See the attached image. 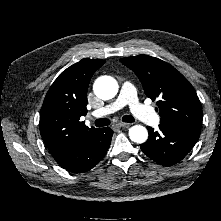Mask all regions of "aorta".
Masks as SVG:
<instances>
[{"label":"aorta","instance_id":"1","mask_svg":"<svg viewBox=\"0 0 221 221\" xmlns=\"http://www.w3.org/2000/svg\"><path fill=\"white\" fill-rule=\"evenodd\" d=\"M93 91L102 100H109L118 92L117 81L110 76H101L94 82ZM129 137L133 142L144 143L148 138V131L141 125L132 126L129 129Z\"/></svg>","mask_w":221,"mask_h":221}]
</instances>
